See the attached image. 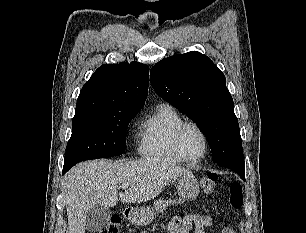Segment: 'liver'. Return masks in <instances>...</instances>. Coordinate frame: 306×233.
Masks as SVG:
<instances>
[{
    "label": "liver",
    "instance_id": "liver-1",
    "mask_svg": "<svg viewBox=\"0 0 306 233\" xmlns=\"http://www.w3.org/2000/svg\"><path fill=\"white\" fill-rule=\"evenodd\" d=\"M188 174L191 173L187 169L161 158L79 163L63 180L68 216L66 233H85L86 215L96 204L109 208L118 201L146 202L158 196L171 181ZM122 184L129 186L118 198L117 189Z\"/></svg>",
    "mask_w": 306,
    "mask_h": 233
}]
</instances>
